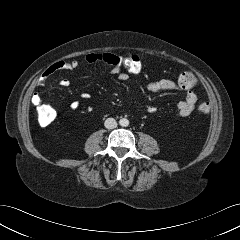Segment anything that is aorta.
I'll return each instance as SVG.
<instances>
[{
    "instance_id": "1",
    "label": "aorta",
    "mask_w": 240,
    "mask_h": 240,
    "mask_svg": "<svg viewBox=\"0 0 240 240\" xmlns=\"http://www.w3.org/2000/svg\"><path fill=\"white\" fill-rule=\"evenodd\" d=\"M119 124H120L122 127H126V126L129 125V120L126 119V118H122V119H120Z\"/></svg>"
}]
</instances>
